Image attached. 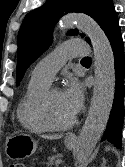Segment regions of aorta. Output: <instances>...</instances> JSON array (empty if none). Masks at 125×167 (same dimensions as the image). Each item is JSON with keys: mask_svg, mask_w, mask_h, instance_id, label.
<instances>
[{"mask_svg": "<svg viewBox=\"0 0 125 167\" xmlns=\"http://www.w3.org/2000/svg\"><path fill=\"white\" fill-rule=\"evenodd\" d=\"M72 24H76L90 38L95 58L93 97L76 151L78 164L84 166L100 139L111 112L115 91L114 55L107 36L93 19L84 14H70L61 20L64 28Z\"/></svg>", "mask_w": 125, "mask_h": 167, "instance_id": "aorta-1", "label": "aorta"}]
</instances>
